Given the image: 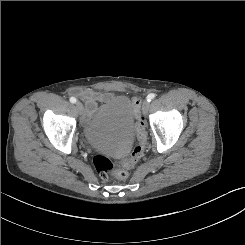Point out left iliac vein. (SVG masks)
<instances>
[{"label": "left iliac vein", "instance_id": "1", "mask_svg": "<svg viewBox=\"0 0 245 245\" xmlns=\"http://www.w3.org/2000/svg\"><path fill=\"white\" fill-rule=\"evenodd\" d=\"M149 107H150V104H149L148 100H145L143 102V105H142V111H143L144 115H147V113L149 111Z\"/></svg>", "mask_w": 245, "mask_h": 245}]
</instances>
